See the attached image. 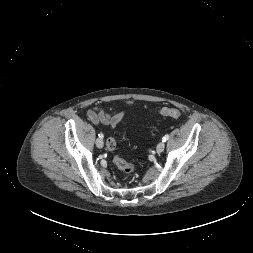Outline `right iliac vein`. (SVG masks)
I'll return each mask as SVG.
<instances>
[{
    "instance_id": "1",
    "label": "right iliac vein",
    "mask_w": 253,
    "mask_h": 253,
    "mask_svg": "<svg viewBox=\"0 0 253 253\" xmlns=\"http://www.w3.org/2000/svg\"><path fill=\"white\" fill-rule=\"evenodd\" d=\"M103 145H104L103 139H102V138H97V139H96V146H97L98 148H102Z\"/></svg>"
}]
</instances>
